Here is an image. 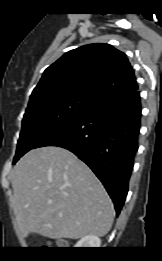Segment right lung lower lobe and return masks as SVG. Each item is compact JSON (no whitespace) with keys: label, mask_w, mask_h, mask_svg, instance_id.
<instances>
[{"label":"right lung lower lobe","mask_w":162,"mask_h":261,"mask_svg":"<svg viewBox=\"0 0 162 261\" xmlns=\"http://www.w3.org/2000/svg\"><path fill=\"white\" fill-rule=\"evenodd\" d=\"M140 93L118 94L47 134L36 146L66 148L84 161L108 191L120 213L138 150Z\"/></svg>","instance_id":"obj_1"}]
</instances>
